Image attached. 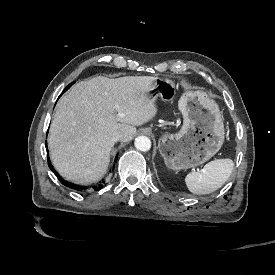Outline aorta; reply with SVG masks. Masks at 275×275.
Instances as JSON below:
<instances>
[{"label": "aorta", "instance_id": "762f6f07", "mask_svg": "<svg viewBox=\"0 0 275 275\" xmlns=\"http://www.w3.org/2000/svg\"><path fill=\"white\" fill-rule=\"evenodd\" d=\"M135 147L137 150L146 152L151 148V141L147 136H139L135 139Z\"/></svg>", "mask_w": 275, "mask_h": 275}]
</instances>
